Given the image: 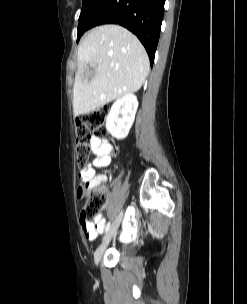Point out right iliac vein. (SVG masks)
<instances>
[{"instance_id": "obj_1", "label": "right iliac vein", "mask_w": 247, "mask_h": 304, "mask_svg": "<svg viewBox=\"0 0 247 304\" xmlns=\"http://www.w3.org/2000/svg\"><path fill=\"white\" fill-rule=\"evenodd\" d=\"M123 217V212H120L117 217L115 218V220L113 221L110 229L108 230L107 234L105 235V237L102 240V243L100 244V246L97 248L96 252H95V262L96 264H99L102 255L104 254L107 246L109 245L110 241L112 240V238L116 235L117 230L120 226L121 220Z\"/></svg>"}]
</instances>
